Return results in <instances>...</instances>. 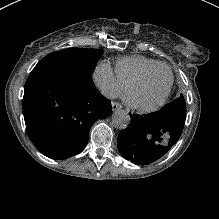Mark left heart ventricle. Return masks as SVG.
Returning <instances> with one entry per match:
<instances>
[{"label":"left heart ventricle","mask_w":219,"mask_h":219,"mask_svg":"<svg viewBox=\"0 0 219 219\" xmlns=\"http://www.w3.org/2000/svg\"><path fill=\"white\" fill-rule=\"evenodd\" d=\"M168 69L161 68L154 76L138 84L131 93L134 102L150 105L159 100L170 83Z\"/></svg>","instance_id":"1"}]
</instances>
